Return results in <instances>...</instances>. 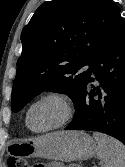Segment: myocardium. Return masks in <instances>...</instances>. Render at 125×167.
Listing matches in <instances>:
<instances>
[{
    "label": "myocardium",
    "instance_id": "f54148a6",
    "mask_svg": "<svg viewBox=\"0 0 125 167\" xmlns=\"http://www.w3.org/2000/svg\"><path fill=\"white\" fill-rule=\"evenodd\" d=\"M48 100H52V101L57 102L59 104V106L61 107L62 112H61L60 118L58 119L57 122H55L51 126H48L44 129L37 130V129L32 128V126L30 125V114H31L32 110L37 105L41 104L42 102L48 101ZM72 116H73V106H72L70 99L62 92L50 91V92H47V93L41 95L40 97H38L36 100H34L29 105V107L26 111L25 121H26L27 127L32 132L44 134V133L61 128L66 123H68V121L72 118Z\"/></svg>",
    "mask_w": 125,
    "mask_h": 167
}]
</instances>
